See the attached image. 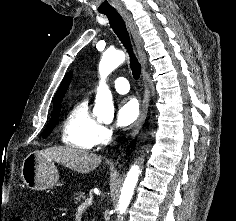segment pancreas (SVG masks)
<instances>
[{"label": "pancreas", "instance_id": "pancreas-1", "mask_svg": "<svg viewBox=\"0 0 236 221\" xmlns=\"http://www.w3.org/2000/svg\"><path fill=\"white\" fill-rule=\"evenodd\" d=\"M85 198H86L85 193L82 192V191H78V192H76V193L74 194L73 200H74V202H75L76 204H78V203H80V202H81L83 199H85Z\"/></svg>", "mask_w": 236, "mask_h": 221}]
</instances>
